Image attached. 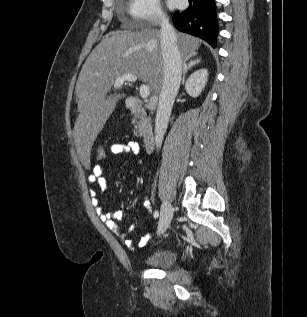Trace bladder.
Returning a JSON list of instances; mask_svg holds the SVG:
<instances>
[{"instance_id":"obj_1","label":"bladder","mask_w":307,"mask_h":317,"mask_svg":"<svg viewBox=\"0 0 307 317\" xmlns=\"http://www.w3.org/2000/svg\"><path fill=\"white\" fill-rule=\"evenodd\" d=\"M176 252L171 249L159 250L141 260L142 264L150 268H165L175 264Z\"/></svg>"}]
</instances>
